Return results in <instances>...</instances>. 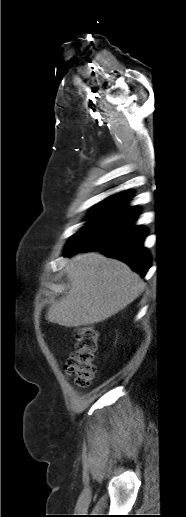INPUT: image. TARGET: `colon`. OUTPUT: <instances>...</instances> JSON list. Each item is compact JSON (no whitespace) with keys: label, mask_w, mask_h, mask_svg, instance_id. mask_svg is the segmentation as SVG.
Instances as JSON below:
<instances>
[{"label":"colon","mask_w":186,"mask_h":517,"mask_svg":"<svg viewBox=\"0 0 186 517\" xmlns=\"http://www.w3.org/2000/svg\"><path fill=\"white\" fill-rule=\"evenodd\" d=\"M73 334L76 340V348L70 355L65 370L67 376L73 378L78 387H86L91 383L96 373L99 334L93 326L75 327Z\"/></svg>","instance_id":"1"}]
</instances>
